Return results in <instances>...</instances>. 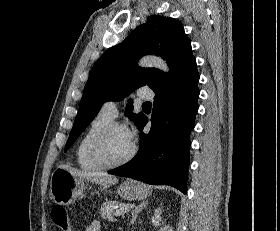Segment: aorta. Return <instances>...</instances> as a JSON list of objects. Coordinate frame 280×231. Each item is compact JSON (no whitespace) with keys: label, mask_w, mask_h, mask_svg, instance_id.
Wrapping results in <instances>:
<instances>
[{"label":"aorta","mask_w":280,"mask_h":231,"mask_svg":"<svg viewBox=\"0 0 280 231\" xmlns=\"http://www.w3.org/2000/svg\"><path fill=\"white\" fill-rule=\"evenodd\" d=\"M139 66H143V68H147V66H152V68H159V70H163V72H169V68L162 60V58H157V56H145L139 62Z\"/></svg>","instance_id":"obj_1"}]
</instances>
